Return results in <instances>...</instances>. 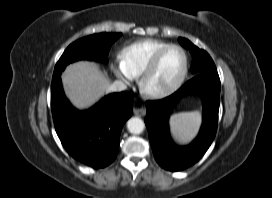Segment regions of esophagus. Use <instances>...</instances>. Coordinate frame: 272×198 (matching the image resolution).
<instances>
[{
  "instance_id": "1",
  "label": "esophagus",
  "mask_w": 272,
  "mask_h": 198,
  "mask_svg": "<svg viewBox=\"0 0 272 198\" xmlns=\"http://www.w3.org/2000/svg\"><path fill=\"white\" fill-rule=\"evenodd\" d=\"M133 112L136 116L141 117L146 114V109L144 107L134 108Z\"/></svg>"
}]
</instances>
